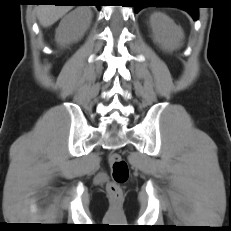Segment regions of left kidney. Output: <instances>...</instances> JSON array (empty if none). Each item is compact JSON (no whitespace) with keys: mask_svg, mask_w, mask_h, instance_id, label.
Listing matches in <instances>:
<instances>
[{"mask_svg":"<svg viewBox=\"0 0 231 231\" xmlns=\"http://www.w3.org/2000/svg\"><path fill=\"white\" fill-rule=\"evenodd\" d=\"M150 26L154 41L163 49L174 50L181 46L184 38L183 30L166 14L159 12L151 15Z\"/></svg>","mask_w":231,"mask_h":231,"instance_id":"obj_1","label":"left kidney"}]
</instances>
